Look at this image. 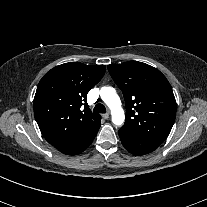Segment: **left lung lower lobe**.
I'll return each instance as SVG.
<instances>
[{"label": "left lung lower lobe", "instance_id": "1", "mask_svg": "<svg viewBox=\"0 0 207 207\" xmlns=\"http://www.w3.org/2000/svg\"><path fill=\"white\" fill-rule=\"evenodd\" d=\"M119 137L125 149L133 155L148 154L161 145V141L152 140L131 134L125 130L118 131Z\"/></svg>", "mask_w": 207, "mask_h": 207}]
</instances>
